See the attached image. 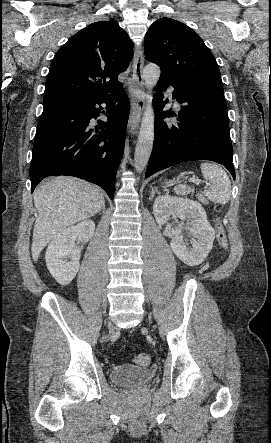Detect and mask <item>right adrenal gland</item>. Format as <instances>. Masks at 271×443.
I'll list each match as a JSON object with an SVG mask.
<instances>
[{
    "mask_svg": "<svg viewBox=\"0 0 271 443\" xmlns=\"http://www.w3.org/2000/svg\"><path fill=\"white\" fill-rule=\"evenodd\" d=\"M100 212H102V214H104V212H105V208H103V210H100Z\"/></svg>",
    "mask_w": 271,
    "mask_h": 443,
    "instance_id": "2a0ac1e0",
    "label": "right adrenal gland"
}]
</instances>
